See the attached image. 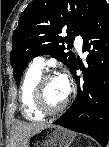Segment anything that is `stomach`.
<instances>
[{"label": "stomach", "mask_w": 109, "mask_h": 147, "mask_svg": "<svg viewBox=\"0 0 109 147\" xmlns=\"http://www.w3.org/2000/svg\"><path fill=\"white\" fill-rule=\"evenodd\" d=\"M75 138V133L49 124L44 129L31 135L27 147H70Z\"/></svg>", "instance_id": "stomach-1"}]
</instances>
